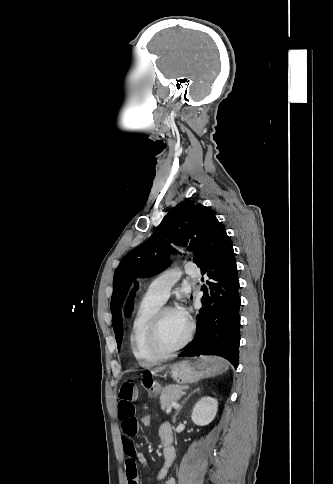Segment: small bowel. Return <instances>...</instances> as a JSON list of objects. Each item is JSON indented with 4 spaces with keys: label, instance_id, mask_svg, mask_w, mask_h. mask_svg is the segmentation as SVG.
I'll return each mask as SVG.
<instances>
[{
    "label": "small bowel",
    "instance_id": "c3829d8e",
    "mask_svg": "<svg viewBox=\"0 0 333 484\" xmlns=\"http://www.w3.org/2000/svg\"><path fill=\"white\" fill-rule=\"evenodd\" d=\"M117 413L122 428V445L127 458L125 471L128 484H138L137 462L148 466V461L143 453L136 450L134 437L139 433L140 426L136 415L135 401L138 397L137 386L131 382H124L118 392ZM159 437L164 443L165 462L159 470L157 480L163 484H176L175 479L167 478V470L175 459V449L172 446L173 432L169 423H163L159 428Z\"/></svg>",
    "mask_w": 333,
    "mask_h": 484
}]
</instances>
